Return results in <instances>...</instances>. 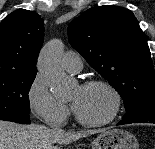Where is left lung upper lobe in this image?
<instances>
[{"label":"left lung upper lobe","mask_w":155,"mask_h":149,"mask_svg":"<svg viewBox=\"0 0 155 149\" xmlns=\"http://www.w3.org/2000/svg\"><path fill=\"white\" fill-rule=\"evenodd\" d=\"M67 32L72 47L123 97L127 113L155 98L151 53L130 10L113 5L90 8Z\"/></svg>","instance_id":"5c2ea615"}]
</instances>
